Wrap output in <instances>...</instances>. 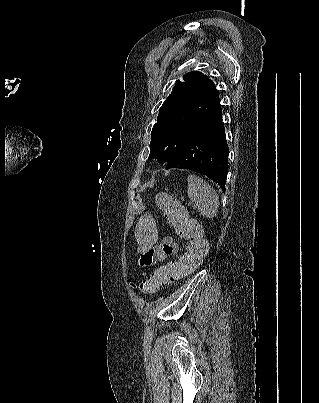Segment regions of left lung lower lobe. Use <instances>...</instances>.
Segmentation results:
<instances>
[{"label":"left lung lower lobe","instance_id":"1","mask_svg":"<svg viewBox=\"0 0 319 403\" xmlns=\"http://www.w3.org/2000/svg\"><path fill=\"white\" fill-rule=\"evenodd\" d=\"M189 169L206 175L225 191L228 145L219 97L192 127L188 138L170 159L166 169Z\"/></svg>","mask_w":319,"mask_h":403}]
</instances>
